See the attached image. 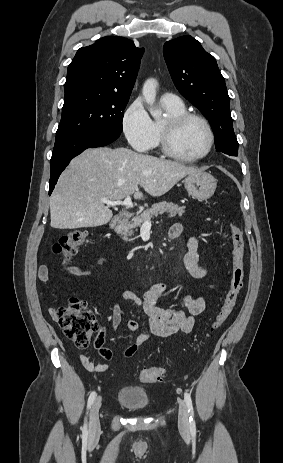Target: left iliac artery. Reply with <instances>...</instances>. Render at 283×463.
<instances>
[{
	"label": "left iliac artery",
	"mask_w": 283,
	"mask_h": 463,
	"mask_svg": "<svg viewBox=\"0 0 283 463\" xmlns=\"http://www.w3.org/2000/svg\"><path fill=\"white\" fill-rule=\"evenodd\" d=\"M184 399L188 408V413H189V425H190V431L191 434L194 436L196 434V424H195V419H194V410H193V405H192V400L191 396L189 393L185 392L184 393Z\"/></svg>",
	"instance_id": "1"
}]
</instances>
